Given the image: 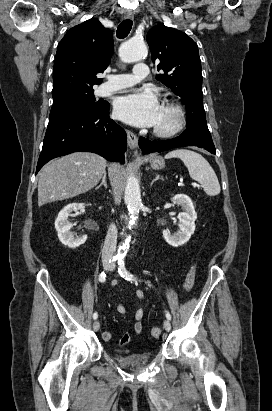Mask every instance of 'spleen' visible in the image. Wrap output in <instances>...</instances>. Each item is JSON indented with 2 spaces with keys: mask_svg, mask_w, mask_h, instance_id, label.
Returning <instances> with one entry per match:
<instances>
[{
  "mask_svg": "<svg viewBox=\"0 0 272 411\" xmlns=\"http://www.w3.org/2000/svg\"><path fill=\"white\" fill-rule=\"evenodd\" d=\"M166 159L179 158L187 167L190 177L203 185L204 192L209 196L220 193L218 178L208 161L199 153L187 149L172 150L165 155Z\"/></svg>",
  "mask_w": 272,
  "mask_h": 411,
  "instance_id": "spleen-1",
  "label": "spleen"
}]
</instances>
